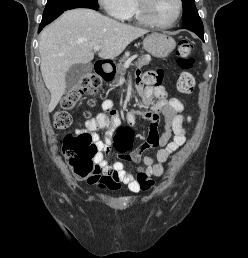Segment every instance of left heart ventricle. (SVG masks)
<instances>
[{"instance_id":"b2bd125f","label":"left heart ventricle","mask_w":248,"mask_h":258,"mask_svg":"<svg viewBox=\"0 0 248 258\" xmlns=\"http://www.w3.org/2000/svg\"><path fill=\"white\" fill-rule=\"evenodd\" d=\"M178 10L177 0H150L151 17L160 22L168 23L174 19Z\"/></svg>"}]
</instances>
